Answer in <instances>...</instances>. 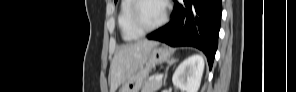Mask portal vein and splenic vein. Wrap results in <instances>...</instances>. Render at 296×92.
I'll return each mask as SVG.
<instances>
[{
	"label": "portal vein and splenic vein",
	"mask_w": 296,
	"mask_h": 92,
	"mask_svg": "<svg viewBox=\"0 0 296 92\" xmlns=\"http://www.w3.org/2000/svg\"><path fill=\"white\" fill-rule=\"evenodd\" d=\"M162 78H163V75L161 74V75H158V76H156V81H160V80H162Z\"/></svg>",
	"instance_id": "18ae733b"
}]
</instances>
